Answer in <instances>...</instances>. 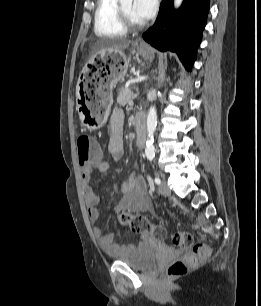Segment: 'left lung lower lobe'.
Listing matches in <instances>:
<instances>
[{"label":"left lung lower lobe","instance_id":"obj_1","mask_svg":"<svg viewBox=\"0 0 261 306\" xmlns=\"http://www.w3.org/2000/svg\"><path fill=\"white\" fill-rule=\"evenodd\" d=\"M209 3L210 0H184L175 11L173 0H163L154 25L143 38L160 51L176 52L186 69L191 70L206 25Z\"/></svg>","mask_w":261,"mask_h":306}]
</instances>
